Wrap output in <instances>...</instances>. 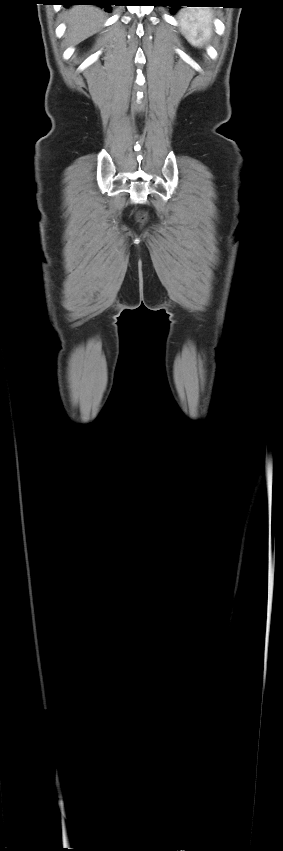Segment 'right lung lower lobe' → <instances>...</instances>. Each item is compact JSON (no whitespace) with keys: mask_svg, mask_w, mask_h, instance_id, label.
<instances>
[{"mask_svg":"<svg viewBox=\"0 0 283 851\" xmlns=\"http://www.w3.org/2000/svg\"><path fill=\"white\" fill-rule=\"evenodd\" d=\"M62 2L64 5H99L101 7H105L106 11H111V5H113L114 0H57Z\"/></svg>","mask_w":283,"mask_h":851,"instance_id":"right-lung-lower-lobe-1","label":"right lung lower lobe"}]
</instances>
